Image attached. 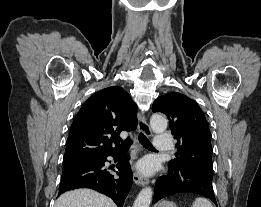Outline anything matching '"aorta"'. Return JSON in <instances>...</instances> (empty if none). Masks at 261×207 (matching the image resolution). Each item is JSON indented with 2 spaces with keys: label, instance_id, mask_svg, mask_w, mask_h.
I'll return each mask as SVG.
<instances>
[{
  "label": "aorta",
  "instance_id": "1",
  "mask_svg": "<svg viewBox=\"0 0 261 207\" xmlns=\"http://www.w3.org/2000/svg\"><path fill=\"white\" fill-rule=\"evenodd\" d=\"M167 125L168 122L164 116L160 114L152 115L150 119V126L155 133L164 132L167 129ZM152 195H153L152 188L146 187L142 189L139 195L137 196L133 204V207H149L152 200Z\"/></svg>",
  "mask_w": 261,
  "mask_h": 207
}]
</instances>
